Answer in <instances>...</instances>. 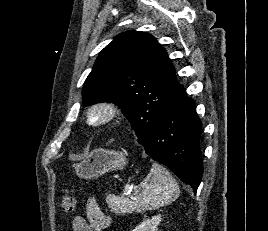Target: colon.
Here are the masks:
<instances>
[{"label": "colon", "mask_w": 268, "mask_h": 231, "mask_svg": "<svg viewBox=\"0 0 268 231\" xmlns=\"http://www.w3.org/2000/svg\"><path fill=\"white\" fill-rule=\"evenodd\" d=\"M77 208V200L74 196L63 195L61 197V209L64 213H73Z\"/></svg>", "instance_id": "colon-1"}]
</instances>
